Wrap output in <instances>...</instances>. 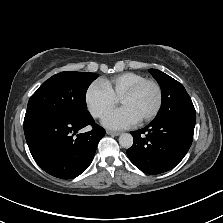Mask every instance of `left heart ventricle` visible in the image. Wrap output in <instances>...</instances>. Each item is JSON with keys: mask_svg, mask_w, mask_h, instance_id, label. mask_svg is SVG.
I'll return each mask as SVG.
<instances>
[{"mask_svg": "<svg viewBox=\"0 0 223 223\" xmlns=\"http://www.w3.org/2000/svg\"><path fill=\"white\" fill-rule=\"evenodd\" d=\"M156 92L153 86H143L135 95L122 98L119 103L139 120L148 115L155 106Z\"/></svg>", "mask_w": 223, "mask_h": 223, "instance_id": "obj_1", "label": "left heart ventricle"}]
</instances>
